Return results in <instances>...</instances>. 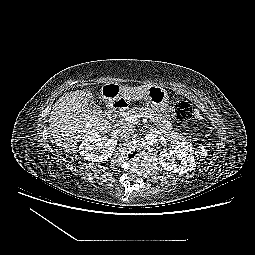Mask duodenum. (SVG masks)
I'll return each mask as SVG.
<instances>
[{"mask_svg":"<svg viewBox=\"0 0 255 255\" xmlns=\"http://www.w3.org/2000/svg\"><path fill=\"white\" fill-rule=\"evenodd\" d=\"M127 107V102L120 97H114L108 102L107 112L111 118L116 119Z\"/></svg>","mask_w":255,"mask_h":255,"instance_id":"410a0bca","label":"duodenum"}]
</instances>
